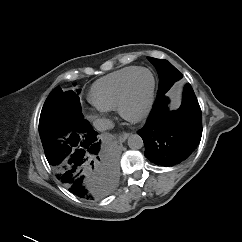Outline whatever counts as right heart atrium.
<instances>
[{"label":"right heart atrium","mask_w":242,"mask_h":242,"mask_svg":"<svg viewBox=\"0 0 242 242\" xmlns=\"http://www.w3.org/2000/svg\"><path fill=\"white\" fill-rule=\"evenodd\" d=\"M106 112H107V110L99 109V111H97V112H91V115L93 117L106 118V116H107Z\"/></svg>","instance_id":"d8ad5b80"}]
</instances>
